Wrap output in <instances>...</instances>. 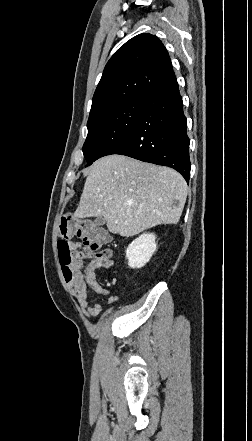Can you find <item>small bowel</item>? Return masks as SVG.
<instances>
[{
    "label": "small bowel",
    "instance_id": "c3829d8e",
    "mask_svg": "<svg viewBox=\"0 0 252 441\" xmlns=\"http://www.w3.org/2000/svg\"><path fill=\"white\" fill-rule=\"evenodd\" d=\"M80 259L90 258L91 260L82 268L83 276L79 282H71L73 295L77 299L84 315L87 318L98 316L103 312V307L99 303H92L89 299L88 290L92 289L95 293L107 298L108 303L117 302V297L103 288L96 278L98 268H108L113 264L111 252L102 250L96 253L82 251L79 253Z\"/></svg>",
    "mask_w": 252,
    "mask_h": 441
}]
</instances>
